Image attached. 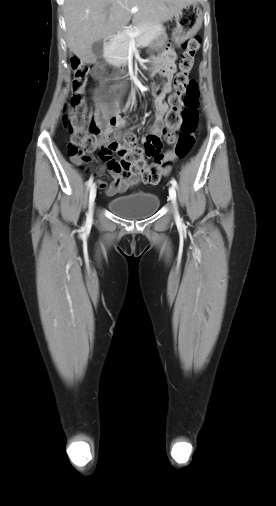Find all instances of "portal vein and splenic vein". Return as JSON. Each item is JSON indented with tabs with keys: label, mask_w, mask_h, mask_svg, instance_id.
I'll use <instances>...</instances> for the list:
<instances>
[{
	"label": "portal vein and splenic vein",
	"mask_w": 276,
	"mask_h": 506,
	"mask_svg": "<svg viewBox=\"0 0 276 506\" xmlns=\"http://www.w3.org/2000/svg\"><path fill=\"white\" fill-rule=\"evenodd\" d=\"M139 8L138 7H132L131 8V13H136L138 12ZM128 34L130 36H138L140 34V31H136V32H128Z\"/></svg>",
	"instance_id": "obj_1"
}]
</instances>
